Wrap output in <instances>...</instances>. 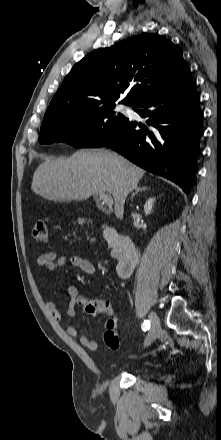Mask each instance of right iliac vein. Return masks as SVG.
Listing matches in <instances>:
<instances>
[{
  "label": "right iliac vein",
  "mask_w": 221,
  "mask_h": 440,
  "mask_svg": "<svg viewBox=\"0 0 221 440\" xmlns=\"http://www.w3.org/2000/svg\"><path fill=\"white\" fill-rule=\"evenodd\" d=\"M149 321H150L151 327L149 329L146 340L144 342L145 347L151 345L156 340V338L159 335V331H160V320L155 312H151L149 314Z\"/></svg>",
  "instance_id": "1"
}]
</instances>
